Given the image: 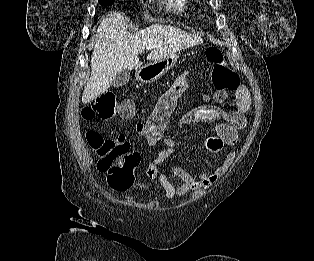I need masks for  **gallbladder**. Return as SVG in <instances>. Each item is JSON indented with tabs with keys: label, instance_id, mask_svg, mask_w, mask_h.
<instances>
[{
	"label": "gallbladder",
	"instance_id": "bac80fb5",
	"mask_svg": "<svg viewBox=\"0 0 314 261\" xmlns=\"http://www.w3.org/2000/svg\"><path fill=\"white\" fill-rule=\"evenodd\" d=\"M129 79V70H122L115 76L114 80L112 81V85L114 87H122L128 83Z\"/></svg>",
	"mask_w": 314,
	"mask_h": 261
}]
</instances>
